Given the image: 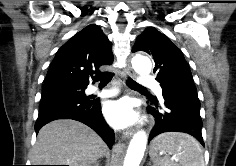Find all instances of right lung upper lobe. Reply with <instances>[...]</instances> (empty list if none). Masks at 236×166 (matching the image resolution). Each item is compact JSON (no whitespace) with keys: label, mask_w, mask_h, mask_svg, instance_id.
<instances>
[{"label":"right lung upper lobe","mask_w":236,"mask_h":166,"mask_svg":"<svg viewBox=\"0 0 236 166\" xmlns=\"http://www.w3.org/2000/svg\"><path fill=\"white\" fill-rule=\"evenodd\" d=\"M112 62L108 38L97 25L90 24L59 48L44 83L69 81L87 86L90 75L99 73V67Z\"/></svg>","instance_id":"1"}]
</instances>
